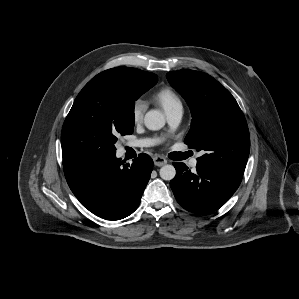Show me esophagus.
I'll return each instance as SVG.
<instances>
[{"mask_svg": "<svg viewBox=\"0 0 299 299\" xmlns=\"http://www.w3.org/2000/svg\"><path fill=\"white\" fill-rule=\"evenodd\" d=\"M153 161H154V164L156 166H159V167L163 166V165H165L167 163V160L164 157H162V156H155L153 158Z\"/></svg>", "mask_w": 299, "mask_h": 299, "instance_id": "34e87169", "label": "esophagus"}]
</instances>
